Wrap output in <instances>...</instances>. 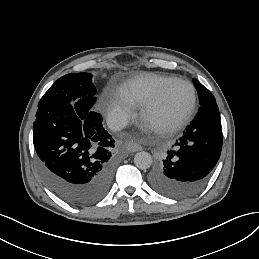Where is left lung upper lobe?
<instances>
[{
    "mask_svg": "<svg viewBox=\"0 0 259 259\" xmlns=\"http://www.w3.org/2000/svg\"><path fill=\"white\" fill-rule=\"evenodd\" d=\"M193 82L198 91L199 103L201 106L211 102H216L215 97L206 87H204L196 79H193Z\"/></svg>",
    "mask_w": 259,
    "mask_h": 259,
    "instance_id": "5c2ea615",
    "label": "left lung upper lobe"
}]
</instances>
